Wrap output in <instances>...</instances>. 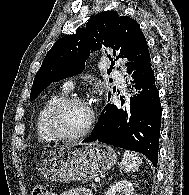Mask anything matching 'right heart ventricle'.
<instances>
[{
	"instance_id": "e07e8e85",
	"label": "right heart ventricle",
	"mask_w": 189,
	"mask_h": 195,
	"mask_svg": "<svg viewBox=\"0 0 189 195\" xmlns=\"http://www.w3.org/2000/svg\"><path fill=\"white\" fill-rule=\"evenodd\" d=\"M68 91L62 89L61 91L51 95L38 111L35 118V129L37 137L42 142H51L55 138L51 135L47 128V117L51 109L62 99L67 96Z\"/></svg>"
}]
</instances>
